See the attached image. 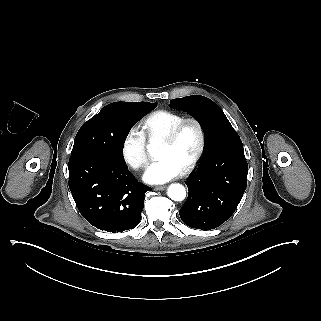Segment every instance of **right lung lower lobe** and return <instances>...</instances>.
I'll use <instances>...</instances> for the list:
<instances>
[{"label":"right lung lower lobe","instance_id":"right-lung-lower-lobe-1","mask_svg":"<svg viewBox=\"0 0 321 321\" xmlns=\"http://www.w3.org/2000/svg\"><path fill=\"white\" fill-rule=\"evenodd\" d=\"M69 188L81 215L114 233L138 225L145 193L151 190L128 171L125 161L95 153L70 156Z\"/></svg>","mask_w":321,"mask_h":321}]
</instances>
